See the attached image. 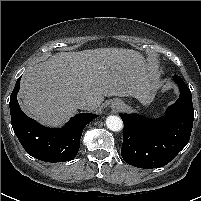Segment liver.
Segmentation results:
<instances>
[{
    "label": "liver",
    "instance_id": "1",
    "mask_svg": "<svg viewBox=\"0 0 201 201\" xmlns=\"http://www.w3.org/2000/svg\"><path fill=\"white\" fill-rule=\"evenodd\" d=\"M152 74L142 54L124 48L60 52L31 66L19 93L22 110L46 126H59L72 117L78 100L104 97L144 98Z\"/></svg>",
    "mask_w": 201,
    "mask_h": 201
}]
</instances>
